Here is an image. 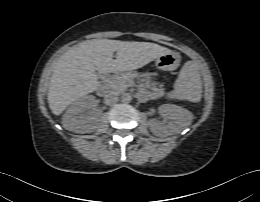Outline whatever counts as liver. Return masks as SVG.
<instances>
[{"mask_svg": "<svg viewBox=\"0 0 260 202\" xmlns=\"http://www.w3.org/2000/svg\"><path fill=\"white\" fill-rule=\"evenodd\" d=\"M169 52L170 49L150 42L83 41L55 64L48 90L49 107L53 114L60 115L74 101L96 91L99 86L96 71L108 74L138 69Z\"/></svg>", "mask_w": 260, "mask_h": 202, "instance_id": "obj_1", "label": "liver"}]
</instances>
